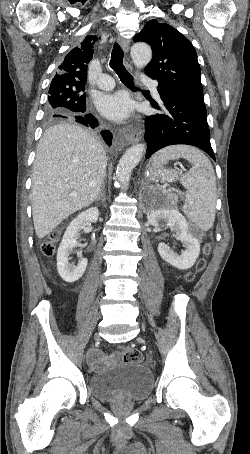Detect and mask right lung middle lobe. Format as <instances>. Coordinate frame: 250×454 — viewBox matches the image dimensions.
<instances>
[{
	"instance_id": "dd1d6c3e",
	"label": "right lung middle lobe",
	"mask_w": 250,
	"mask_h": 454,
	"mask_svg": "<svg viewBox=\"0 0 250 454\" xmlns=\"http://www.w3.org/2000/svg\"><path fill=\"white\" fill-rule=\"evenodd\" d=\"M85 86L68 88L50 86L48 102L45 108V119L54 121L82 112L86 108Z\"/></svg>"
}]
</instances>
